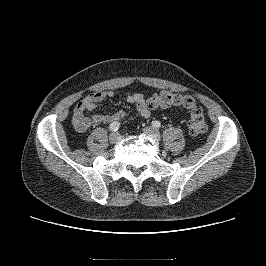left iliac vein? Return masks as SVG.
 <instances>
[{"label":"left iliac vein","instance_id":"4c4485c4","mask_svg":"<svg viewBox=\"0 0 266 266\" xmlns=\"http://www.w3.org/2000/svg\"><path fill=\"white\" fill-rule=\"evenodd\" d=\"M143 132L147 136L152 137V138H154L156 140H160V138H161L160 132L157 129L153 128V127H145L143 129Z\"/></svg>","mask_w":266,"mask_h":266}]
</instances>
